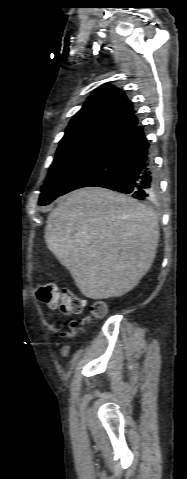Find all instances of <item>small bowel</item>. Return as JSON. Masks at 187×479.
Here are the masks:
<instances>
[{
	"instance_id": "c3829d8e",
	"label": "small bowel",
	"mask_w": 187,
	"mask_h": 479,
	"mask_svg": "<svg viewBox=\"0 0 187 479\" xmlns=\"http://www.w3.org/2000/svg\"><path fill=\"white\" fill-rule=\"evenodd\" d=\"M72 347L70 345H65L60 349V355L61 357L65 358L67 357L70 352H71Z\"/></svg>"
}]
</instances>
